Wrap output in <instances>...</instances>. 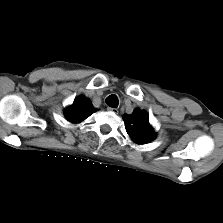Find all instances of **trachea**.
Segmentation results:
<instances>
[{"label":"trachea","instance_id":"1","mask_svg":"<svg viewBox=\"0 0 223 223\" xmlns=\"http://www.w3.org/2000/svg\"><path fill=\"white\" fill-rule=\"evenodd\" d=\"M106 104L112 108L118 107V98L115 95H110L105 100Z\"/></svg>","mask_w":223,"mask_h":223}]
</instances>
